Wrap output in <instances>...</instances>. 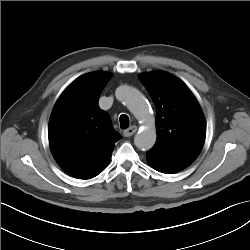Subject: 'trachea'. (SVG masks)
<instances>
[{"instance_id": "obj_1", "label": "trachea", "mask_w": 250, "mask_h": 250, "mask_svg": "<svg viewBox=\"0 0 250 250\" xmlns=\"http://www.w3.org/2000/svg\"><path fill=\"white\" fill-rule=\"evenodd\" d=\"M120 127L122 129H126L129 127V117L127 115H121L120 116Z\"/></svg>"}]
</instances>
